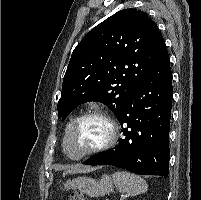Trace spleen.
<instances>
[{"instance_id": "spleen-1", "label": "spleen", "mask_w": 201, "mask_h": 200, "mask_svg": "<svg viewBox=\"0 0 201 200\" xmlns=\"http://www.w3.org/2000/svg\"><path fill=\"white\" fill-rule=\"evenodd\" d=\"M113 181L120 193L134 197L145 193L148 185L141 177L127 171H117L113 174Z\"/></svg>"}]
</instances>
